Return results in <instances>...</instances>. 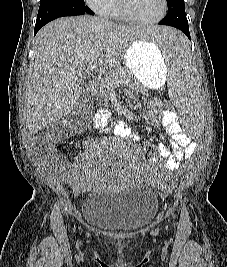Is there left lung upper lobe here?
I'll use <instances>...</instances> for the list:
<instances>
[{
	"label": "left lung upper lobe",
	"instance_id": "obj_1",
	"mask_svg": "<svg viewBox=\"0 0 227 267\" xmlns=\"http://www.w3.org/2000/svg\"><path fill=\"white\" fill-rule=\"evenodd\" d=\"M183 4H184V0H167L168 9H170L171 7H175V6L183 5Z\"/></svg>",
	"mask_w": 227,
	"mask_h": 267
}]
</instances>
